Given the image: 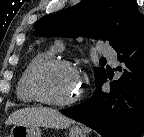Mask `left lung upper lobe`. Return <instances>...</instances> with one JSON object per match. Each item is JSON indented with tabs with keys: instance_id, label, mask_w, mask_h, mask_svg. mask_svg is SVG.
Returning a JSON list of instances; mask_svg holds the SVG:
<instances>
[{
	"instance_id": "obj_1",
	"label": "left lung upper lobe",
	"mask_w": 144,
	"mask_h": 137,
	"mask_svg": "<svg viewBox=\"0 0 144 137\" xmlns=\"http://www.w3.org/2000/svg\"><path fill=\"white\" fill-rule=\"evenodd\" d=\"M134 0H82L78 5L56 14L44 16L35 23L42 37H78L109 41L116 50L139 28L144 16ZM96 84L106 71L94 69Z\"/></svg>"
}]
</instances>
